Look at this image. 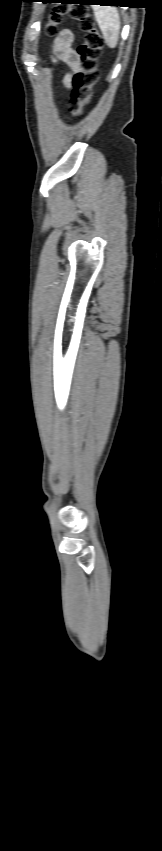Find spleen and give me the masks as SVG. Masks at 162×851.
<instances>
[{"instance_id": "obj_1", "label": "spleen", "mask_w": 162, "mask_h": 851, "mask_svg": "<svg viewBox=\"0 0 162 851\" xmlns=\"http://www.w3.org/2000/svg\"><path fill=\"white\" fill-rule=\"evenodd\" d=\"M95 19L103 34L106 44L110 48H115L119 39L121 21L118 11L115 7H93Z\"/></svg>"}]
</instances>
